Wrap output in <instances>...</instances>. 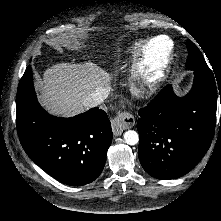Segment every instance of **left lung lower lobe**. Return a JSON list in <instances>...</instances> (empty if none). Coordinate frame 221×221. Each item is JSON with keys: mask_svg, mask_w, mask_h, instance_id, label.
I'll return each instance as SVG.
<instances>
[{"mask_svg": "<svg viewBox=\"0 0 221 221\" xmlns=\"http://www.w3.org/2000/svg\"><path fill=\"white\" fill-rule=\"evenodd\" d=\"M216 81L212 71H194L192 89L185 97H177L167 85L139 111V160L149 175L179 178L205 155L215 133L219 95L221 103Z\"/></svg>", "mask_w": 221, "mask_h": 221, "instance_id": "1", "label": "left lung lower lobe"}]
</instances>
